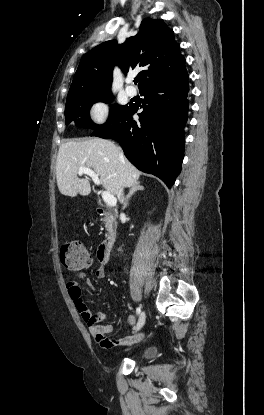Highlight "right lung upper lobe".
<instances>
[{"instance_id":"1","label":"right lung upper lobe","mask_w":264,"mask_h":415,"mask_svg":"<svg viewBox=\"0 0 264 415\" xmlns=\"http://www.w3.org/2000/svg\"><path fill=\"white\" fill-rule=\"evenodd\" d=\"M117 64L122 71L142 68L139 89L182 74L185 58L174 40L173 30L163 20L146 18L137 35L121 45L111 40L103 42L81 59L67 98L111 92L112 71Z\"/></svg>"}]
</instances>
